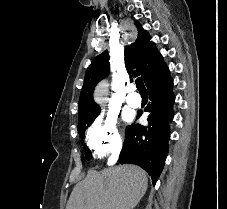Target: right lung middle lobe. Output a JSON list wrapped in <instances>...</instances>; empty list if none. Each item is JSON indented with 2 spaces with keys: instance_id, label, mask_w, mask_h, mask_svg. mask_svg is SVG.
Returning a JSON list of instances; mask_svg holds the SVG:
<instances>
[{
  "instance_id": "right-lung-middle-lobe-1",
  "label": "right lung middle lobe",
  "mask_w": 227,
  "mask_h": 209,
  "mask_svg": "<svg viewBox=\"0 0 227 209\" xmlns=\"http://www.w3.org/2000/svg\"><path fill=\"white\" fill-rule=\"evenodd\" d=\"M97 116L98 115L79 117L78 132H79L81 138L85 137L84 132H85L87 126H90ZM84 149H85V154H86L87 159H90V157H91L90 150L86 146Z\"/></svg>"
}]
</instances>
